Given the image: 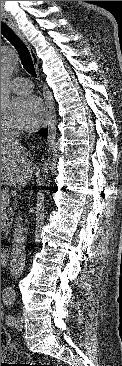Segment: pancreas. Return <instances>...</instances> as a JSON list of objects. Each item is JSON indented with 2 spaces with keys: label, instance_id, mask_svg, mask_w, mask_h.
I'll list each match as a JSON object with an SVG mask.
<instances>
[{
  "label": "pancreas",
  "instance_id": "1",
  "mask_svg": "<svg viewBox=\"0 0 122 366\" xmlns=\"http://www.w3.org/2000/svg\"><path fill=\"white\" fill-rule=\"evenodd\" d=\"M3 198H5V200H3ZM9 194L7 192V190H1V233H4L5 235H7L9 233V223L6 222L7 220V213H6V208L8 207L9 204Z\"/></svg>",
  "mask_w": 122,
  "mask_h": 366
}]
</instances>
